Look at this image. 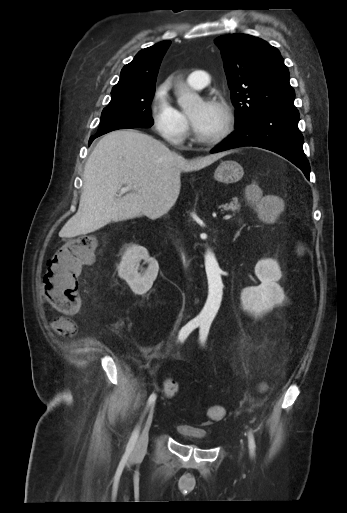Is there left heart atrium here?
I'll list each match as a JSON object with an SVG mask.
<instances>
[{
    "label": "left heart atrium",
    "instance_id": "left-heart-atrium-1",
    "mask_svg": "<svg viewBox=\"0 0 347 513\" xmlns=\"http://www.w3.org/2000/svg\"><path fill=\"white\" fill-rule=\"evenodd\" d=\"M205 119H206V116H204V117H201V118L197 119V120L193 123L194 127H196V128L201 127V126L204 124Z\"/></svg>",
    "mask_w": 347,
    "mask_h": 513
}]
</instances>
